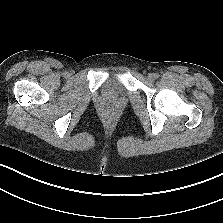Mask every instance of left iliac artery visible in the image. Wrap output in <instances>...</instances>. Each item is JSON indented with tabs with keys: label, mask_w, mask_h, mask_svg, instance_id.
<instances>
[{
	"label": "left iliac artery",
	"mask_w": 223,
	"mask_h": 223,
	"mask_svg": "<svg viewBox=\"0 0 223 223\" xmlns=\"http://www.w3.org/2000/svg\"><path fill=\"white\" fill-rule=\"evenodd\" d=\"M157 78H159V74L156 73L155 74V79H157Z\"/></svg>",
	"instance_id": "44dca946"
}]
</instances>
